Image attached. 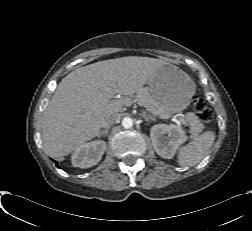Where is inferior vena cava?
<instances>
[{
    "instance_id": "1",
    "label": "inferior vena cava",
    "mask_w": 252,
    "mask_h": 231,
    "mask_svg": "<svg viewBox=\"0 0 252 231\" xmlns=\"http://www.w3.org/2000/svg\"><path fill=\"white\" fill-rule=\"evenodd\" d=\"M118 120V114H112L109 115L104 122L102 123V126L104 128H108L109 126L113 125L114 123H116Z\"/></svg>"
}]
</instances>
